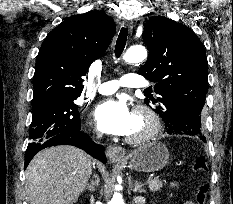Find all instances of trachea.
<instances>
[{
    "label": "trachea",
    "instance_id": "obj_1",
    "mask_svg": "<svg viewBox=\"0 0 233 204\" xmlns=\"http://www.w3.org/2000/svg\"><path fill=\"white\" fill-rule=\"evenodd\" d=\"M127 36H128V28L126 27L121 28L117 42H116V46H115L116 58H119L120 55L122 54L125 48V45H126Z\"/></svg>",
    "mask_w": 233,
    "mask_h": 204
}]
</instances>
